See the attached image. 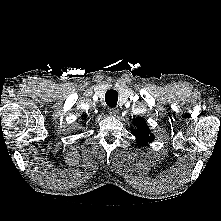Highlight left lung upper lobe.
I'll return each mask as SVG.
<instances>
[{
	"instance_id": "left-lung-upper-lobe-1",
	"label": "left lung upper lobe",
	"mask_w": 221,
	"mask_h": 221,
	"mask_svg": "<svg viewBox=\"0 0 221 221\" xmlns=\"http://www.w3.org/2000/svg\"><path fill=\"white\" fill-rule=\"evenodd\" d=\"M133 124L135 126V130H133L132 133L136 137L138 144L147 145L148 142H151L154 139V135L150 133L146 121H144L142 118H136L133 121Z\"/></svg>"
}]
</instances>
